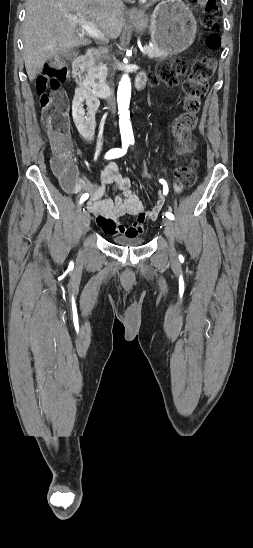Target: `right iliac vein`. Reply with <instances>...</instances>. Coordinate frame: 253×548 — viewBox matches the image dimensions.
Masks as SVG:
<instances>
[{
    "instance_id": "1",
    "label": "right iliac vein",
    "mask_w": 253,
    "mask_h": 548,
    "mask_svg": "<svg viewBox=\"0 0 253 548\" xmlns=\"http://www.w3.org/2000/svg\"><path fill=\"white\" fill-rule=\"evenodd\" d=\"M90 215L88 212H82L80 213V220H81V230L83 233H85L88 228H89V225H90Z\"/></svg>"
}]
</instances>
